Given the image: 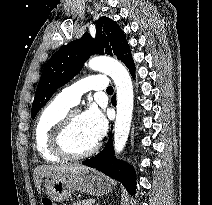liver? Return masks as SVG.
<instances>
[{"instance_id":"6515ba94","label":"liver","mask_w":212,"mask_h":205,"mask_svg":"<svg viewBox=\"0 0 212 205\" xmlns=\"http://www.w3.org/2000/svg\"><path fill=\"white\" fill-rule=\"evenodd\" d=\"M90 168L82 165L38 166L34 171V182L40 192L42 178L46 176H61L65 174H85Z\"/></svg>"}]
</instances>
